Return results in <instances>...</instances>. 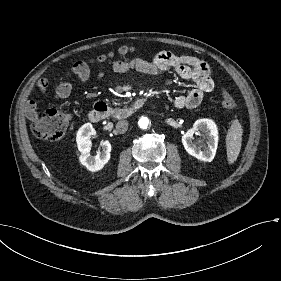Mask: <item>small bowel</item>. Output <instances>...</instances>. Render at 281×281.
<instances>
[{
    "label": "small bowel",
    "instance_id": "1",
    "mask_svg": "<svg viewBox=\"0 0 281 281\" xmlns=\"http://www.w3.org/2000/svg\"><path fill=\"white\" fill-rule=\"evenodd\" d=\"M113 72L121 73L126 71H139L146 74H156L163 71H174L180 78L187 79L194 84V87L187 93L175 98L174 104L179 109H192L197 107L203 97L214 88L212 71L209 65L193 56L177 54L170 51L157 53L150 61L142 58H134L129 61L116 62L111 66ZM73 71L79 79V86L86 83L90 76L88 66L84 62H77ZM103 72L99 76H103ZM77 87L70 83H61L55 90L58 99L69 97ZM49 94V87L46 80L41 79L27 92L28 103L26 114L30 120L37 118L36 103Z\"/></svg>",
    "mask_w": 281,
    "mask_h": 281
}]
</instances>
